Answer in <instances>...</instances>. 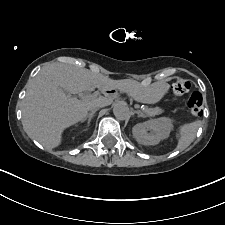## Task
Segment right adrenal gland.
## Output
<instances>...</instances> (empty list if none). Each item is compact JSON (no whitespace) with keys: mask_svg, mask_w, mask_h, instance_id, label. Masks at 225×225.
I'll return each instance as SVG.
<instances>
[{"mask_svg":"<svg viewBox=\"0 0 225 225\" xmlns=\"http://www.w3.org/2000/svg\"><path fill=\"white\" fill-rule=\"evenodd\" d=\"M96 111H97V109L91 111L89 114H87V117L82 121V122H84V121L88 120V121H87V127H89L90 122H91V120H92L94 114L96 113Z\"/></svg>","mask_w":225,"mask_h":225,"instance_id":"2a0ac1e0","label":"right adrenal gland"}]
</instances>
